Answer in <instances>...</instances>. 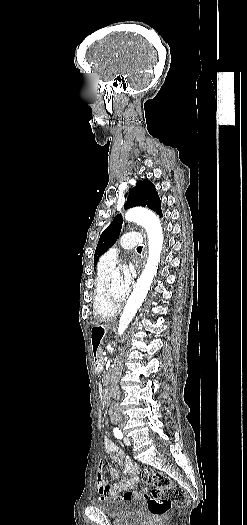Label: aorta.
<instances>
[{
  "instance_id": "aorta-1",
  "label": "aorta",
  "mask_w": 247,
  "mask_h": 525,
  "mask_svg": "<svg viewBox=\"0 0 247 525\" xmlns=\"http://www.w3.org/2000/svg\"><path fill=\"white\" fill-rule=\"evenodd\" d=\"M125 219L145 228L149 240V257L138 278L119 320L118 334L122 335L144 301L153 278L157 273L163 246V231L157 216L148 209L133 208L126 212Z\"/></svg>"
}]
</instances>
